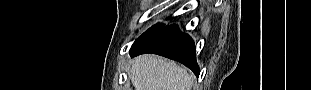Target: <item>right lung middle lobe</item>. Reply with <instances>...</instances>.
I'll return each mask as SVG.
<instances>
[{
	"label": "right lung middle lobe",
	"instance_id": "dd1d6c3e",
	"mask_svg": "<svg viewBox=\"0 0 311 90\" xmlns=\"http://www.w3.org/2000/svg\"><path fill=\"white\" fill-rule=\"evenodd\" d=\"M163 27V25H155L152 26L150 29H148L143 35H141L135 42H138L140 40H142L143 38H145L146 36H148L149 34L155 32L156 30H158L159 28Z\"/></svg>",
	"mask_w": 311,
	"mask_h": 90
}]
</instances>
